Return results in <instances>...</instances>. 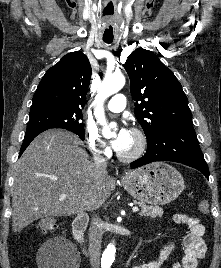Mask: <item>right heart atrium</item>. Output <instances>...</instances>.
<instances>
[{
	"label": "right heart atrium",
	"mask_w": 221,
	"mask_h": 268,
	"mask_svg": "<svg viewBox=\"0 0 221 268\" xmlns=\"http://www.w3.org/2000/svg\"><path fill=\"white\" fill-rule=\"evenodd\" d=\"M85 141L91 154L98 158H106L110 155V149L99 135L94 125H87L85 128Z\"/></svg>",
	"instance_id": "obj_1"
}]
</instances>
